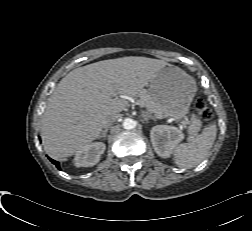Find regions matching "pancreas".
<instances>
[{"instance_id": "pancreas-1", "label": "pancreas", "mask_w": 252, "mask_h": 231, "mask_svg": "<svg viewBox=\"0 0 252 231\" xmlns=\"http://www.w3.org/2000/svg\"><path fill=\"white\" fill-rule=\"evenodd\" d=\"M138 103L144 107L147 108V110L150 113H153L156 117H160L161 116V111L158 108V106L156 105V103L154 102L152 96L146 91V90H142L139 94H138ZM201 127V121L197 118H194L192 121V125L189 128V134L191 136L196 135V133L200 130Z\"/></svg>"}]
</instances>
